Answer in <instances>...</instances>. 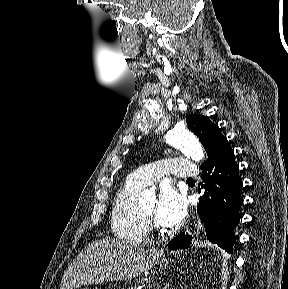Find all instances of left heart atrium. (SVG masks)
<instances>
[{
	"mask_svg": "<svg viewBox=\"0 0 288 289\" xmlns=\"http://www.w3.org/2000/svg\"><path fill=\"white\" fill-rule=\"evenodd\" d=\"M186 213L184 197L170 186H163L159 193L155 221L162 227H177Z\"/></svg>",
	"mask_w": 288,
	"mask_h": 289,
	"instance_id": "left-heart-atrium-1",
	"label": "left heart atrium"
}]
</instances>
